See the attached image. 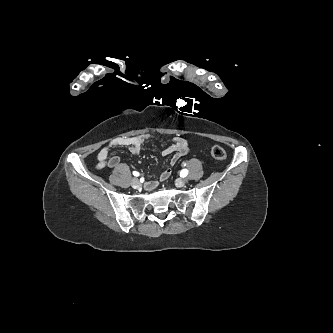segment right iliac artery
Wrapping results in <instances>:
<instances>
[{
	"label": "right iliac artery",
	"instance_id": "right-iliac-artery-1",
	"mask_svg": "<svg viewBox=\"0 0 333 333\" xmlns=\"http://www.w3.org/2000/svg\"><path fill=\"white\" fill-rule=\"evenodd\" d=\"M133 175L137 177V176H139L140 174H139V172H137V171H133Z\"/></svg>",
	"mask_w": 333,
	"mask_h": 333
}]
</instances>
